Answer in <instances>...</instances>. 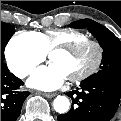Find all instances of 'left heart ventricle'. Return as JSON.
Listing matches in <instances>:
<instances>
[{
	"mask_svg": "<svg viewBox=\"0 0 121 121\" xmlns=\"http://www.w3.org/2000/svg\"><path fill=\"white\" fill-rule=\"evenodd\" d=\"M95 55V50L89 47L77 55L53 52L50 54L49 59L52 64L57 66L69 78L86 69L94 61Z\"/></svg>",
	"mask_w": 121,
	"mask_h": 121,
	"instance_id": "b2bd125f",
	"label": "left heart ventricle"
}]
</instances>
